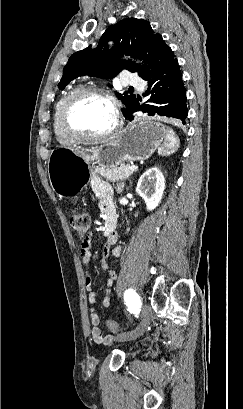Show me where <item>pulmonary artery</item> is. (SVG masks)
<instances>
[{
    "instance_id": "obj_1",
    "label": "pulmonary artery",
    "mask_w": 243,
    "mask_h": 409,
    "mask_svg": "<svg viewBox=\"0 0 243 409\" xmlns=\"http://www.w3.org/2000/svg\"><path fill=\"white\" fill-rule=\"evenodd\" d=\"M124 84L142 89L144 86L143 80L134 73H128L125 76Z\"/></svg>"
}]
</instances>
